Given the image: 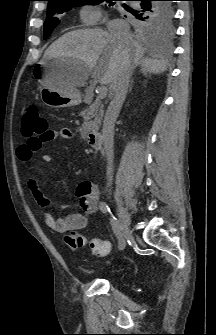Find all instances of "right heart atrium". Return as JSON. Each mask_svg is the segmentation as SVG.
<instances>
[{
	"instance_id": "d8ad5b80",
	"label": "right heart atrium",
	"mask_w": 216,
	"mask_h": 335,
	"mask_svg": "<svg viewBox=\"0 0 216 335\" xmlns=\"http://www.w3.org/2000/svg\"><path fill=\"white\" fill-rule=\"evenodd\" d=\"M80 19L84 24L96 25L106 21L102 11L93 5H85L80 9Z\"/></svg>"
}]
</instances>
